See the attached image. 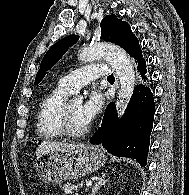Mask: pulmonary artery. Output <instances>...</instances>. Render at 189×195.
Masks as SVG:
<instances>
[{"label": "pulmonary artery", "mask_w": 189, "mask_h": 195, "mask_svg": "<svg viewBox=\"0 0 189 195\" xmlns=\"http://www.w3.org/2000/svg\"><path fill=\"white\" fill-rule=\"evenodd\" d=\"M106 74L107 67L104 64L94 63L70 72L60 80L59 85L74 93L95 79L105 78Z\"/></svg>", "instance_id": "e3ab8cb5"}]
</instances>
